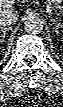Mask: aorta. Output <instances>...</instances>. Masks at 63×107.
I'll return each instance as SVG.
<instances>
[{
  "label": "aorta",
  "mask_w": 63,
  "mask_h": 107,
  "mask_svg": "<svg viewBox=\"0 0 63 107\" xmlns=\"http://www.w3.org/2000/svg\"><path fill=\"white\" fill-rule=\"evenodd\" d=\"M25 30L30 34H38L43 30V22L39 17L31 16L25 21Z\"/></svg>",
  "instance_id": "obj_1"
}]
</instances>
